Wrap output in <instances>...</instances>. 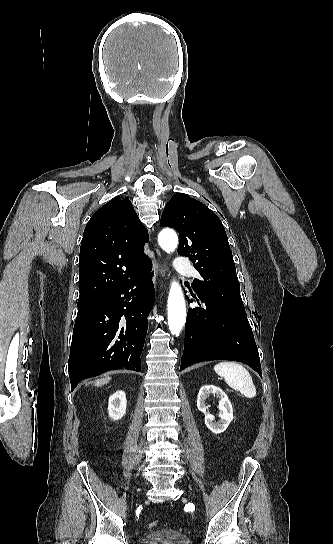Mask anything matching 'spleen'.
<instances>
[{
    "label": "spleen",
    "instance_id": "3e777b00",
    "mask_svg": "<svg viewBox=\"0 0 333 544\" xmlns=\"http://www.w3.org/2000/svg\"><path fill=\"white\" fill-rule=\"evenodd\" d=\"M215 372L224 378L231 388L239 391L246 398L256 396V388L249 372L236 362L223 361L214 366Z\"/></svg>",
    "mask_w": 333,
    "mask_h": 544
}]
</instances>
